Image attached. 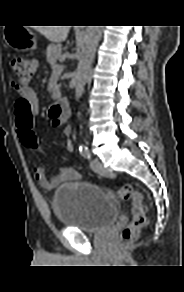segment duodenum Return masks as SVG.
Returning <instances> with one entry per match:
<instances>
[{
	"label": "duodenum",
	"instance_id": "1",
	"mask_svg": "<svg viewBox=\"0 0 184 292\" xmlns=\"http://www.w3.org/2000/svg\"><path fill=\"white\" fill-rule=\"evenodd\" d=\"M50 114L56 120L64 121L70 115L69 103L65 99H58L54 102L50 109Z\"/></svg>",
	"mask_w": 184,
	"mask_h": 292
}]
</instances>
